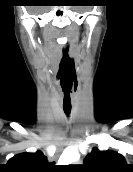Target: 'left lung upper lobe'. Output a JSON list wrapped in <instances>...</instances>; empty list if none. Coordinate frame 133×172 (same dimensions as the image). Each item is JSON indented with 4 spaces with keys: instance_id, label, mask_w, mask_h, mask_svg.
I'll list each match as a JSON object with an SVG mask.
<instances>
[{
    "instance_id": "left-lung-upper-lobe-1",
    "label": "left lung upper lobe",
    "mask_w": 133,
    "mask_h": 172,
    "mask_svg": "<svg viewBox=\"0 0 133 172\" xmlns=\"http://www.w3.org/2000/svg\"><path fill=\"white\" fill-rule=\"evenodd\" d=\"M85 172H123L128 169L125 158L117 152L94 148L84 159Z\"/></svg>"
}]
</instances>
